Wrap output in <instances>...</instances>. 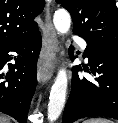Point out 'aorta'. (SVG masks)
Segmentation results:
<instances>
[{
    "label": "aorta",
    "mask_w": 118,
    "mask_h": 123,
    "mask_svg": "<svg viewBox=\"0 0 118 123\" xmlns=\"http://www.w3.org/2000/svg\"><path fill=\"white\" fill-rule=\"evenodd\" d=\"M53 23L58 33L65 34L71 26L70 14L65 9H59L54 13ZM68 78L65 69L58 71L57 77L51 88L48 103V119L50 122L56 121L65 105Z\"/></svg>",
    "instance_id": "1"
}]
</instances>
